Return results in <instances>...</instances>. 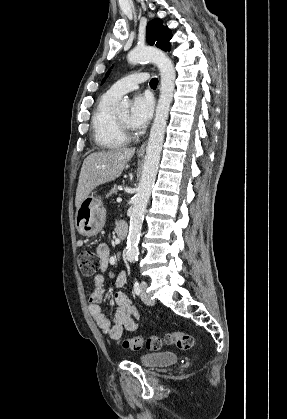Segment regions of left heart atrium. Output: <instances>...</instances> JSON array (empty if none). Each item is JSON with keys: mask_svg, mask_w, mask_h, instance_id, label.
<instances>
[{"mask_svg": "<svg viewBox=\"0 0 287 419\" xmlns=\"http://www.w3.org/2000/svg\"><path fill=\"white\" fill-rule=\"evenodd\" d=\"M153 98L149 94L134 96L129 114V126L135 130L143 129L152 117Z\"/></svg>", "mask_w": 287, "mask_h": 419, "instance_id": "left-heart-atrium-1", "label": "left heart atrium"}]
</instances>
